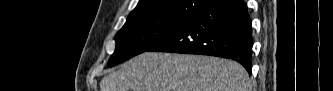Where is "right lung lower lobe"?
<instances>
[{"label":"right lung lower lobe","instance_id":"right-lung-lower-lobe-1","mask_svg":"<svg viewBox=\"0 0 333 91\" xmlns=\"http://www.w3.org/2000/svg\"><path fill=\"white\" fill-rule=\"evenodd\" d=\"M251 19L243 0H217L150 52L211 55L233 59L251 73Z\"/></svg>","mask_w":333,"mask_h":91}]
</instances>
